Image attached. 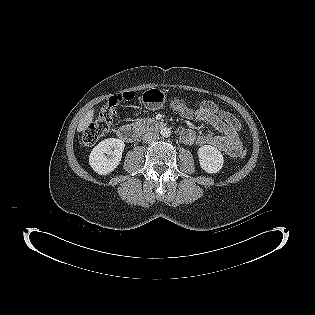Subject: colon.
Returning a JSON list of instances; mask_svg holds the SVG:
<instances>
[{
	"label": "colon",
	"mask_w": 315,
	"mask_h": 315,
	"mask_svg": "<svg viewBox=\"0 0 315 315\" xmlns=\"http://www.w3.org/2000/svg\"><path fill=\"white\" fill-rule=\"evenodd\" d=\"M133 98V92L118 93L109 97L101 107L97 119L83 132L82 143L85 146H92L100 138L105 136L111 128L117 108L121 103L130 101ZM187 105L188 101L186 98H174L170 101V106L174 110L182 109ZM239 155L242 159H247L249 157V152L247 150H242Z\"/></svg>",
	"instance_id": "colon-1"
}]
</instances>
